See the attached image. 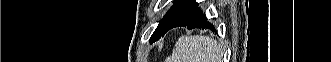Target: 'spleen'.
Masks as SVG:
<instances>
[{
	"mask_svg": "<svg viewBox=\"0 0 331 62\" xmlns=\"http://www.w3.org/2000/svg\"><path fill=\"white\" fill-rule=\"evenodd\" d=\"M220 49L208 36H182L176 43L172 62H219Z\"/></svg>",
	"mask_w": 331,
	"mask_h": 62,
	"instance_id": "spleen-1",
	"label": "spleen"
}]
</instances>
